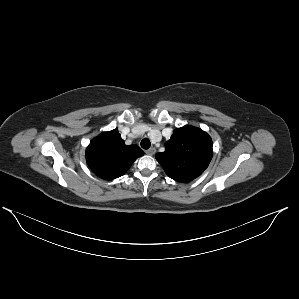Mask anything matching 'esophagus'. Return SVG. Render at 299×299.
I'll list each match as a JSON object with an SVG mask.
<instances>
[{
  "instance_id": "obj_1",
  "label": "esophagus",
  "mask_w": 299,
  "mask_h": 299,
  "mask_svg": "<svg viewBox=\"0 0 299 299\" xmlns=\"http://www.w3.org/2000/svg\"><path fill=\"white\" fill-rule=\"evenodd\" d=\"M156 152V149L155 148H149L148 150H146V153L148 155H154Z\"/></svg>"
}]
</instances>
